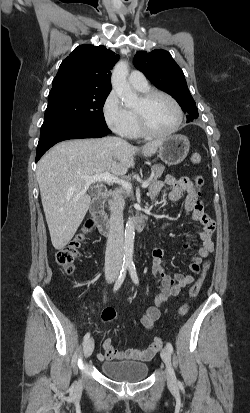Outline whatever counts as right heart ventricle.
<instances>
[{"label": "right heart ventricle", "instance_id": "right-heart-ventricle-1", "mask_svg": "<svg viewBox=\"0 0 250 413\" xmlns=\"http://www.w3.org/2000/svg\"><path fill=\"white\" fill-rule=\"evenodd\" d=\"M137 89V88H135ZM139 92H145L148 90V87L144 88V89H137ZM129 116H130V128H129V132L127 134V136L132 137V138H138L140 136H142V133L140 131L139 128V124H138V119H137V115L136 112L134 110H129Z\"/></svg>", "mask_w": 250, "mask_h": 413}]
</instances>
